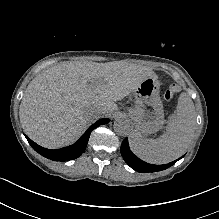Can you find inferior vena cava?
I'll return each instance as SVG.
<instances>
[{
  "instance_id": "obj_1",
  "label": "inferior vena cava",
  "mask_w": 219,
  "mask_h": 219,
  "mask_svg": "<svg viewBox=\"0 0 219 219\" xmlns=\"http://www.w3.org/2000/svg\"><path fill=\"white\" fill-rule=\"evenodd\" d=\"M89 117L92 121L94 122H99L103 119L104 117V112L101 108L99 107H94L90 110L89 112Z\"/></svg>"
}]
</instances>
